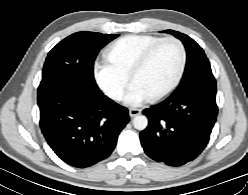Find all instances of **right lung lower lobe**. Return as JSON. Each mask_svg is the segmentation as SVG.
Wrapping results in <instances>:
<instances>
[{
  "instance_id": "1",
  "label": "right lung lower lobe",
  "mask_w": 248,
  "mask_h": 195,
  "mask_svg": "<svg viewBox=\"0 0 248 195\" xmlns=\"http://www.w3.org/2000/svg\"><path fill=\"white\" fill-rule=\"evenodd\" d=\"M38 105L41 131L49 146L77 168L109 157L129 122L128 109L100 90L59 86L38 94Z\"/></svg>"
}]
</instances>
